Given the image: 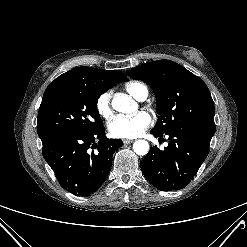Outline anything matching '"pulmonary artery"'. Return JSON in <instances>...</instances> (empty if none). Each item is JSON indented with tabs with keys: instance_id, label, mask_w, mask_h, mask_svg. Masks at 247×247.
Segmentation results:
<instances>
[{
	"instance_id": "pulmonary-artery-1",
	"label": "pulmonary artery",
	"mask_w": 247,
	"mask_h": 247,
	"mask_svg": "<svg viewBox=\"0 0 247 247\" xmlns=\"http://www.w3.org/2000/svg\"><path fill=\"white\" fill-rule=\"evenodd\" d=\"M147 95H148V92H145V93H143L140 97H139V100H145L146 99V97H147Z\"/></svg>"
}]
</instances>
